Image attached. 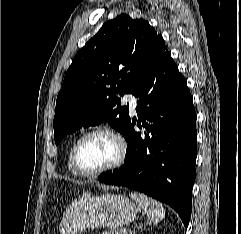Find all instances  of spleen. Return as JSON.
<instances>
[{"instance_id":"3e777b00","label":"spleen","mask_w":241,"mask_h":234,"mask_svg":"<svg viewBox=\"0 0 241 234\" xmlns=\"http://www.w3.org/2000/svg\"><path fill=\"white\" fill-rule=\"evenodd\" d=\"M129 195L140 208L144 209L150 224H157L164 219L165 210L160 202L138 192H131Z\"/></svg>"}]
</instances>
